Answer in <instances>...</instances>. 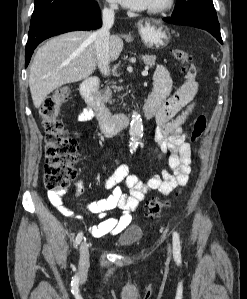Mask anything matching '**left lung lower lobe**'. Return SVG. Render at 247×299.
Instances as JSON below:
<instances>
[{
	"label": "left lung lower lobe",
	"instance_id": "1",
	"mask_svg": "<svg viewBox=\"0 0 247 299\" xmlns=\"http://www.w3.org/2000/svg\"><path fill=\"white\" fill-rule=\"evenodd\" d=\"M167 23L176 25L193 26L211 33L221 44H223L220 25L217 16L200 10H189L178 15L163 18Z\"/></svg>",
	"mask_w": 247,
	"mask_h": 299
}]
</instances>
